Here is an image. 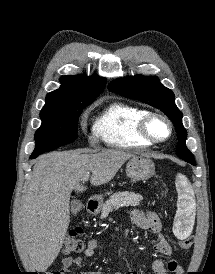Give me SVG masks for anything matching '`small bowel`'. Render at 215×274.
<instances>
[{"instance_id":"1","label":"small bowel","mask_w":215,"mask_h":274,"mask_svg":"<svg viewBox=\"0 0 215 274\" xmlns=\"http://www.w3.org/2000/svg\"><path fill=\"white\" fill-rule=\"evenodd\" d=\"M129 216L134 225L141 229H150L157 238L155 243V250L163 256H171L172 248L162 233V224L159 217L150 211H143L140 209H133L129 212ZM100 240L98 238L90 239L87 242L86 248L84 249V257H93L99 246ZM83 262L82 257H66L63 259V271L64 274H69L70 269L73 267L81 266ZM152 269L157 274H169L182 272V266L179 261L175 258H171L166 263L161 259H156L152 263ZM81 274H102L99 271H85ZM114 274H126L123 272H115ZM133 274V273H127Z\"/></svg>"}]
</instances>
